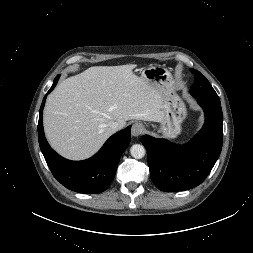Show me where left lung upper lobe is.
I'll return each instance as SVG.
<instances>
[{
	"label": "left lung upper lobe",
	"mask_w": 253,
	"mask_h": 253,
	"mask_svg": "<svg viewBox=\"0 0 253 253\" xmlns=\"http://www.w3.org/2000/svg\"><path fill=\"white\" fill-rule=\"evenodd\" d=\"M190 71L194 74L195 80L190 88L191 95L197 98L219 100L209 81L199 71L195 69H190Z\"/></svg>",
	"instance_id": "obj_1"
}]
</instances>
